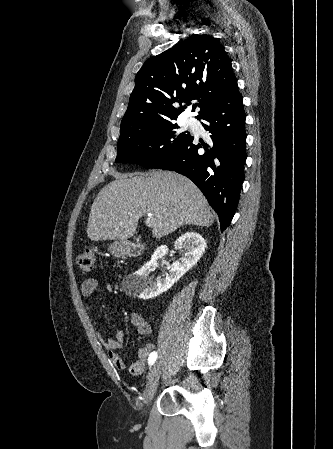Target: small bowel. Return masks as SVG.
<instances>
[{"instance_id":"small-bowel-1","label":"small bowel","mask_w":333,"mask_h":449,"mask_svg":"<svg viewBox=\"0 0 333 449\" xmlns=\"http://www.w3.org/2000/svg\"><path fill=\"white\" fill-rule=\"evenodd\" d=\"M98 288V281L95 278H88L82 282L81 291L85 297H92ZM92 307L87 306V312L91 313ZM132 325L136 328L137 332L141 335H150L152 332L150 324L139 313H132L130 316ZM98 339L104 349L107 351L108 359L110 363L119 370H125L127 368L125 361L121 355L117 352L118 349L124 345L125 335L123 331L117 330L113 338H104L102 335H98ZM155 350V343L149 342L137 352V358L128 366V371L133 376H139L142 374L149 356Z\"/></svg>"}]
</instances>
